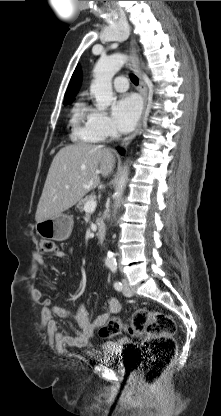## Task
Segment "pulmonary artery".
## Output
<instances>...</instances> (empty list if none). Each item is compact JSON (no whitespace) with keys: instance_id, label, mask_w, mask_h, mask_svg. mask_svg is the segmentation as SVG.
<instances>
[{"instance_id":"obj_1","label":"pulmonary artery","mask_w":221,"mask_h":416,"mask_svg":"<svg viewBox=\"0 0 221 416\" xmlns=\"http://www.w3.org/2000/svg\"><path fill=\"white\" fill-rule=\"evenodd\" d=\"M112 86L117 92H125L128 89V80L124 76H118L114 79Z\"/></svg>"}]
</instances>
